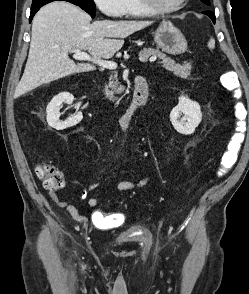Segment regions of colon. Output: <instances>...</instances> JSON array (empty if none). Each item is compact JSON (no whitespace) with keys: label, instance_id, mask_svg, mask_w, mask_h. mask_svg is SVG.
<instances>
[{"label":"colon","instance_id":"obj_1","mask_svg":"<svg viewBox=\"0 0 249 294\" xmlns=\"http://www.w3.org/2000/svg\"><path fill=\"white\" fill-rule=\"evenodd\" d=\"M222 86L230 94L233 99V113H234V131L231 142L229 143V150L223 155L220 166L216 174L223 176L231 169L236 161L237 151L240 148L244 135V106L240 101L241 91L234 80H227L226 73L220 77ZM37 176L42 180L44 187L50 191L62 189L66 182L62 172L54 165L42 162L36 168Z\"/></svg>","mask_w":249,"mask_h":294}]
</instances>
